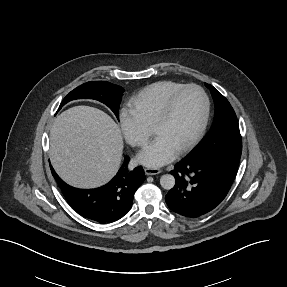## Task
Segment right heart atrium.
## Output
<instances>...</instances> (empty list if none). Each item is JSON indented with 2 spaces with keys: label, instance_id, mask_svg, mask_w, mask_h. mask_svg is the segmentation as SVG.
<instances>
[{
  "label": "right heart atrium",
  "instance_id": "obj_1",
  "mask_svg": "<svg viewBox=\"0 0 287 287\" xmlns=\"http://www.w3.org/2000/svg\"><path fill=\"white\" fill-rule=\"evenodd\" d=\"M119 122L122 133L126 141L132 146H143L150 134L151 130L136 112L130 108H123L119 114Z\"/></svg>",
  "mask_w": 287,
  "mask_h": 287
}]
</instances>
